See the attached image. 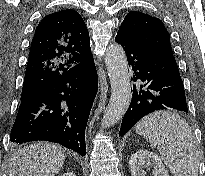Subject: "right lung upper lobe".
Returning a JSON list of instances; mask_svg holds the SVG:
<instances>
[{
	"instance_id": "right-lung-upper-lobe-1",
	"label": "right lung upper lobe",
	"mask_w": 205,
	"mask_h": 176,
	"mask_svg": "<svg viewBox=\"0 0 205 176\" xmlns=\"http://www.w3.org/2000/svg\"><path fill=\"white\" fill-rule=\"evenodd\" d=\"M87 27L72 9L45 16L33 37L21 100L91 57Z\"/></svg>"
}]
</instances>
